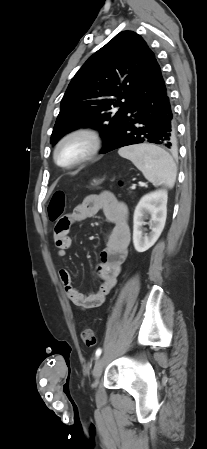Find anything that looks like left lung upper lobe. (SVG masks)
Instances as JSON below:
<instances>
[{
    "label": "left lung upper lobe",
    "mask_w": 207,
    "mask_h": 449,
    "mask_svg": "<svg viewBox=\"0 0 207 449\" xmlns=\"http://www.w3.org/2000/svg\"><path fill=\"white\" fill-rule=\"evenodd\" d=\"M156 63L153 51L140 35L131 31L117 34L71 80L50 143H56L76 128L91 127L100 132L105 148L118 132ZM122 98L126 100L122 102Z\"/></svg>",
    "instance_id": "obj_1"
}]
</instances>
